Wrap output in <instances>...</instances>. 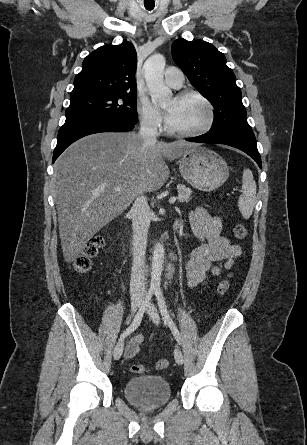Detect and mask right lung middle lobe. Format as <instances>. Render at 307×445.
<instances>
[{
  "instance_id": "dd1d6c3e",
  "label": "right lung middle lobe",
  "mask_w": 307,
  "mask_h": 445,
  "mask_svg": "<svg viewBox=\"0 0 307 445\" xmlns=\"http://www.w3.org/2000/svg\"><path fill=\"white\" fill-rule=\"evenodd\" d=\"M66 118L77 115H108L137 122L136 93L96 94L70 98Z\"/></svg>"
}]
</instances>
